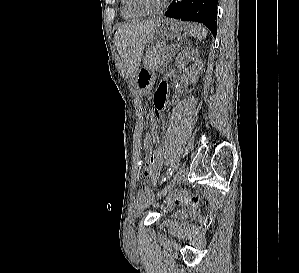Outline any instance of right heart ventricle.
Here are the masks:
<instances>
[{
  "mask_svg": "<svg viewBox=\"0 0 299 273\" xmlns=\"http://www.w3.org/2000/svg\"><path fill=\"white\" fill-rule=\"evenodd\" d=\"M120 14L123 19L128 21H138L145 17L147 14L136 10L130 0H121Z\"/></svg>",
  "mask_w": 299,
  "mask_h": 273,
  "instance_id": "right-heart-ventricle-1",
  "label": "right heart ventricle"
}]
</instances>
